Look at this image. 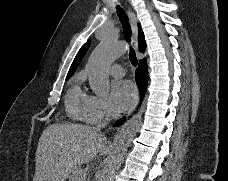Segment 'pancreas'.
<instances>
[{
  "label": "pancreas",
  "mask_w": 228,
  "mask_h": 181,
  "mask_svg": "<svg viewBox=\"0 0 228 181\" xmlns=\"http://www.w3.org/2000/svg\"><path fill=\"white\" fill-rule=\"evenodd\" d=\"M84 169H80V167H76V169H73L69 181H85L84 179H81L80 175H87V173H83Z\"/></svg>",
  "instance_id": "obj_1"
}]
</instances>
